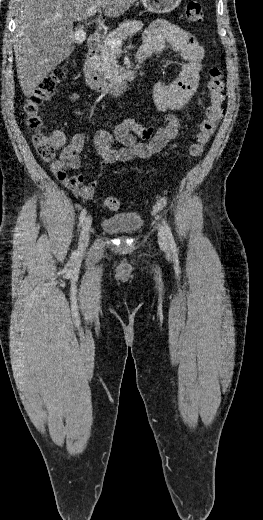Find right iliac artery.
Listing matches in <instances>:
<instances>
[{
	"label": "right iliac artery",
	"mask_w": 263,
	"mask_h": 520,
	"mask_svg": "<svg viewBox=\"0 0 263 520\" xmlns=\"http://www.w3.org/2000/svg\"><path fill=\"white\" fill-rule=\"evenodd\" d=\"M85 216H86V210L83 209L81 214H80V217H79V227L83 224V221L85 219Z\"/></svg>",
	"instance_id": "right-iliac-artery-1"
}]
</instances>
